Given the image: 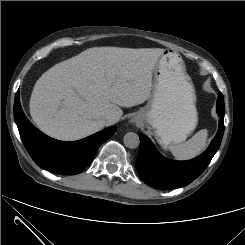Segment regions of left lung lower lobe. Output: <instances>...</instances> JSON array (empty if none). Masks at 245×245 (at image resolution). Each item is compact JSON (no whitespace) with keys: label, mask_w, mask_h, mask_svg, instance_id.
Instances as JSON below:
<instances>
[{"label":"left lung lower lobe","mask_w":245,"mask_h":245,"mask_svg":"<svg viewBox=\"0 0 245 245\" xmlns=\"http://www.w3.org/2000/svg\"><path fill=\"white\" fill-rule=\"evenodd\" d=\"M216 108L220 116L218 132L208 149L192 160H168L157 152L148 138L140 135L136 168L139 176L147 185L165 190L183 187L195 180L205 170L219 149L224 133L225 107L222 93L218 95Z\"/></svg>","instance_id":"obj_1"}]
</instances>
